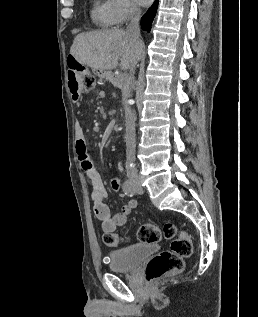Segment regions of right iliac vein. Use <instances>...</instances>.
Listing matches in <instances>:
<instances>
[{"label":"right iliac vein","mask_w":258,"mask_h":317,"mask_svg":"<svg viewBox=\"0 0 258 317\" xmlns=\"http://www.w3.org/2000/svg\"><path fill=\"white\" fill-rule=\"evenodd\" d=\"M132 184H133L134 186H138V185L140 184V181H139L138 179H134V180L132 181Z\"/></svg>","instance_id":"right-iliac-vein-1"}]
</instances>
